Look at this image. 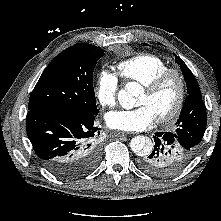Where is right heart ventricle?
<instances>
[{
	"label": "right heart ventricle",
	"mask_w": 221,
	"mask_h": 221,
	"mask_svg": "<svg viewBox=\"0 0 221 221\" xmlns=\"http://www.w3.org/2000/svg\"><path fill=\"white\" fill-rule=\"evenodd\" d=\"M167 68L168 64L160 57L144 53L120 62L117 74L124 81L144 85Z\"/></svg>",
	"instance_id": "obj_1"
}]
</instances>
